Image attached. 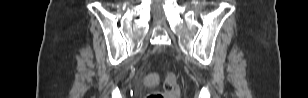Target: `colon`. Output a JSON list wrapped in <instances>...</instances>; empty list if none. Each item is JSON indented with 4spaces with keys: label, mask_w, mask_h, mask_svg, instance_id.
<instances>
[{
    "label": "colon",
    "mask_w": 308,
    "mask_h": 98,
    "mask_svg": "<svg viewBox=\"0 0 308 98\" xmlns=\"http://www.w3.org/2000/svg\"><path fill=\"white\" fill-rule=\"evenodd\" d=\"M180 89L177 83V77L170 72L164 81V92H150L146 98H179Z\"/></svg>",
    "instance_id": "1"
}]
</instances>
